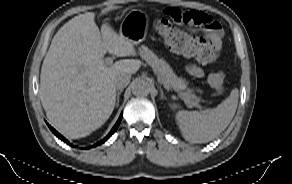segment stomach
I'll return each mask as SVG.
<instances>
[{
    "mask_svg": "<svg viewBox=\"0 0 292 184\" xmlns=\"http://www.w3.org/2000/svg\"><path fill=\"white\" fill-rule=\"evenodd\" d=\"M148 22V16L143 11L132 9L121 23L120 35L133 45L139 44L147 35Z\"/></svg>",
    "mask_w": 292,
    "mask_h": 184,
    "instance_id": "1",
    "label": "stomach"
}]
</instances>
